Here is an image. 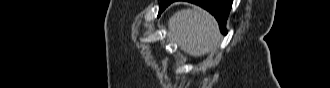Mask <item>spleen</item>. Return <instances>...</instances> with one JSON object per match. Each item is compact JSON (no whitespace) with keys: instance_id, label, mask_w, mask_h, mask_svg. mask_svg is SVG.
<instances>
[{"instance_id":"spleen-1","label":"spleen","mask_w":330,"mask_h":88,"mask_svg":"<svg viewBox=\"0 0 330 88\" xmlns=\"http://www.w3.org/2000/svg\"><path fill=\"white\" fill-rule=\"evenodd\" d=\"M168 39L192 56L213 51L219 42L218 24L199 7L176 12L168 21Z\"/></svg>"}]
</instances>
